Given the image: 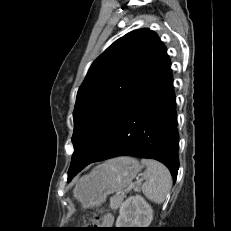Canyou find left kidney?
Returning <instances> with one entry per match:
<instances>
[{
    "mask_svg": "<svg viewBox=\"0 0 231 231\" xmlns=\"http://www.w3.org/2000/svg\"><path fill=\"white\" fill-rule=\"evenodd\" d=\"M153 219V209L139 195L122 203L116 221L117 228H147Z\"/></svg>",
    "mask_w": 231,
    "mask_h": 231,
    "instance_id": "1",
    "label": "left kidney"
}]
</instances>
